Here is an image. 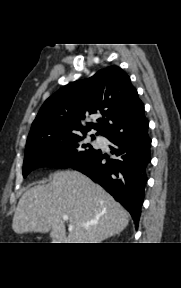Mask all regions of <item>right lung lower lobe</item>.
<instances>
[{
    "instance_id": "1",
    "label": "right lung lower lobe",
    "mask_w": 181,
    "mask_h": 288,
    "mask_svg": "<svg viewBox=\"0 0 181 288\" xmlns=\"http://www.w3.org/2000/svg\"><path fill=\"white\" fill-rule=\"evenodd\" d=\"M108 139L113 144L110 148L116 156L114 159L107 158L101 150H97L71 167L104 187L127 209L137 227L147 182L146 170L151 160V139L147 131L136 137L116 136Z\"/></svg>"
}]
</instances>
